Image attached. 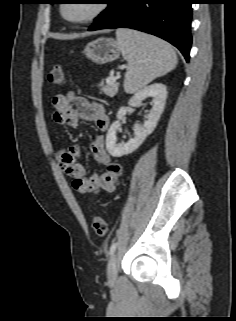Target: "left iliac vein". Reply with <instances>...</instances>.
<instances>
[{
  "instance_id": "left-iliac-vein-1",
  "label": "left iliac vein",
  "mask_w": 236,
  "mask_h": 321,
  "mask_svg": "<svg viewBox=\"0 0 236 321\" xmlns=\"http://www.w3.org/2000/svg\"><path fill=\"white\" fill-rule=\"evenodd\" d=\"M107 278L109 283H115L117 279V258L116 255H112L109 259L107 266Z\"/></svg>"
}]
</instances>
